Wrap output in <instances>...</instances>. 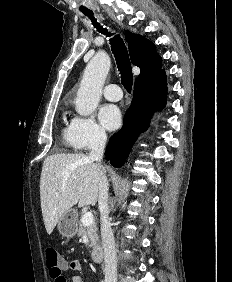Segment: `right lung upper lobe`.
I'll return each mask as SVG.
<instances>
[{
    "instance_id": "1",
    "label": "right lung upper lobe",
    "mask_w": 232,
    "mask_h": 282,
    "mask_svg": "<svg viewBox=\"0 0 232 282\" xmlns=\"http://www.w3.org/2000/svg\"><path fill=\"white\" fill-rule=\"evenodd\" d=\"M128 42L131 62L141 70L139 77L152 75L161 70V57L155 50V45L144 37L125 33Z\"/></svg>"
}]
</instances>
